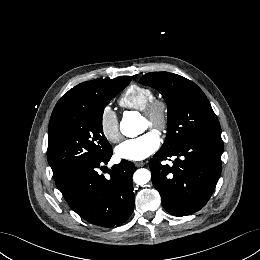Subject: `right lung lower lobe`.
<instances>
[{
  "label": "right lung lower lobe",
  "mask_w": 260,
  "mask_h": 260,
  "mask_svg": "<svg viewBox=\"0 0 260 260\" xmlns=\"http://www.w3.org/2000/svg\"><path fill=\"white\" fill-rule=\"evenodd\" d=\"M111 156L112 153L95 162L78 164L54 178L69 206L86 221L103 227L122 224L134 208V164L122 160L113 165L110 179L98 172Z\"/></svg>",
  "instance_id": "right-lung-lower-lobe-1"
}]
</instances>
